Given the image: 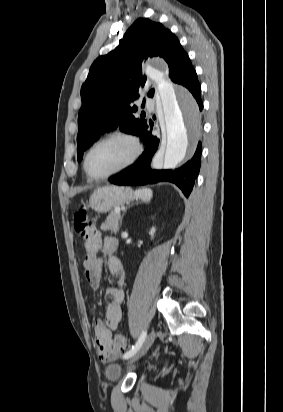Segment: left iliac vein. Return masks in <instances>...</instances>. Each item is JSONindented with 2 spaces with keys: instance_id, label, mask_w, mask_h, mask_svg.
I'll use <instances>...</instances> for the list:
<instances>
[{
  "instance_id": "1",
  "label": "left iliac vein",
  "mask_w": 283,
  "mask_h": 412,
  "mask_svg": "<svg viewBox=\"0 0 283 412\" xmlns=\"http://www.w3.org/2000/svg\"><path fill=\"white\" fill-rule=\"evenodd\" d=\"M156 338V331L152 330L145 338L144 342L142 343L140 349L134 354V356L131 358L129 363H133L136 360H138L140 357H142L148 349L151 347L153 344L154 340Z\"/></svg>"
}]
</instances>
